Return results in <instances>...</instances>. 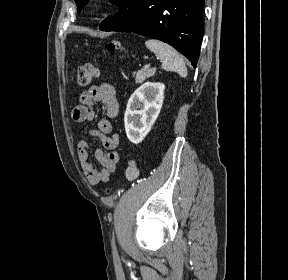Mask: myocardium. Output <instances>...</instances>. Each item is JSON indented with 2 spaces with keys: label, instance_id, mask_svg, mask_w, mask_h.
Instances as JSON below:
<instances>
[{
  "label": "myocardium",
  "instance_id": "f54148a6",
  "mask_svg": "<svg viewBox=\"0 0 288 280\" xmlns=\"http://www.w3.org/2000/svg\"><path fill=\"white\" fill-rule=\"evenodd\" d=\"M106 3H107L106 0H94V1L92 2V4H91V8H92L93 10H99V9H101L102 6H103L104 4H106Z\"/></svg>",
  "mask_w": 288,
  "mask_h": 280
}]
</instances>
